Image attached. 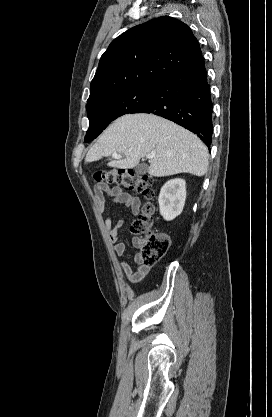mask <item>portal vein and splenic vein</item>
I'll return each instance as SVG.
<instances>
[{"instance_id": "obj_1", "label": "portal vein and splenic vein", "mask_w": 272, "mask_h": 417, "mask_svg": "<svg viewBox=\"0 0 272 417\" xmlns=\"http://www.w3.org/2000/svg\"><path fill=\"white\" fill-rule=\"evenodd\" d=\"M154 156H155V153L152 152V153H150V154L147 155V158L148 159H152ZM112 158H114V159H121L122 156L120 154H118V153H113L112 154Z\"/></svg>"}]
</instances>
